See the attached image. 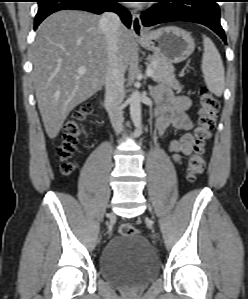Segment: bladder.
<instances>
[{
    "instance_id": "1",
    "label": "bladder",
    "mask_w": 248,
    "mask_h": 299,
    "mask_svg": "<svg viewBox=\"0 0 248 299\" xmlns=\"http://www.w3.org/2000/svg\"><path fill=\"white\" fill-rule=\"evenodd\" d=\"M99 269L112 284L138 288L157 277L159 264L148 240L139 234L114 236L104 246Z\"/></svg>"
}]
</instances>
